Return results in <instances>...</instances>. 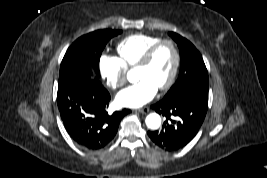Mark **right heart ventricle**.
I'll use <instances>...</instances> for the list:
<instances>
[{"label":"right heart ventricle","instance_id":"right-heart-ventricle-1","mask_svg":"<svg viewBox=\"0 0 267 178\" xmlns=\"http://www.w3.org/2000/svg\"><path fill=\"white\" fill-rule=\"evenodd\" d=\"M160 39L148 34H134L124 38L116 47L120 62L125 68L136 66L145 52Z\"/></svg>","mask_w":267,"mask_h":178}]
</instances>
